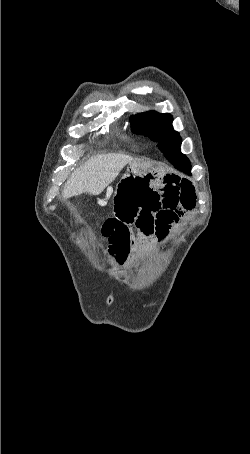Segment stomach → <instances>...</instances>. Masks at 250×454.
<instances>
[{
  "label": "stomach",
  "mask_w": 250,
  "mask_h": 454,
  "mask_svg": "<svg viewBox=\"0 0 250 454\" xmlns=\"http://www.w3.org/2000/svg\"><path fill=\"white\" fill-rule=\"evenodd\" d=\"M123 176H156L155 171L139 162H131Z\"/></svg>",
  "instance_id": "0dacf381"
}]
</instances>
